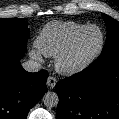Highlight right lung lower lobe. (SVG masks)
<instances>
[{"instance_id": "1", "label": "right lung lower lobe", "mask_w": 119, "mask_h": 119, "mask_svg": "<svg viewBox=\"0 0 119 119\" xmlns=\"http://www.w3.org/2000/svg\"><path fill=\"white\" fill-rule=\"evenodd\" d=\"M24 52L0 47V119H26L29 110L46 92V70L25 71Z\"/></svg>"}]
</instances>
